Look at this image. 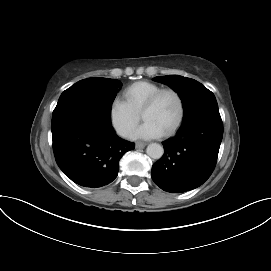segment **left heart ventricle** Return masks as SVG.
<instances>
[{"label":"left heart ventricle","mask_w":271,"mask_h":271,"mask_svg":"<svg viewBox=\"0 0 271 271\" xmlns=\"http://www.w3.org/2000/svg\"><path fill=\"white\" fill-rule=\"evenodd\" d=\"M178 116V103L171 93L163 94L153 108L142 114L144 120L154 122L165 133L175 123Z\"/></svg>","instance_id":"b2bd125f"}]
</instances>
